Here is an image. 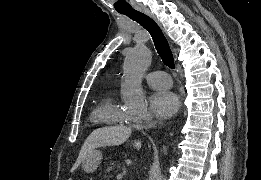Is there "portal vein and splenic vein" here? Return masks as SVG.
Masks as SVG:
<instances>
[{"label": "portal vein and splenic vein", "instance_id": "1", "mask_svg": "<svg viewBox=\"0 0 261 180\" xmlns=\"http://www.w3.org/2000/svg\"><path fill=\"white\" fill-rule=\"evenodd\" d=\"M116 176H117L118 180H121V178L124 176V173L123 172H117Z\"/></svg>", "mask_w": 261, "mask_h": 180}]
</instances>
